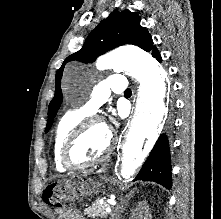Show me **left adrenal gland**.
<instances>
[{
	"label": "left adrenal gland",
	"mask_w": 221,
	"mask_h": 219,
	"mask_svg": "<svg viewBox=\"0 0 221 219\" xmlns=\"http://www.w3.org/2000/svg\"><path fill=\"white\" fill-rule=\"evenodd\" d=\"M130 197H132V194L130 193V194H128L127 196H126V201H124L123 203H121V205L120 206H118L117 207V209L115 210V213L112 215V218L111 219H119L120 218V216H121V213H123V204H126L127 202H128V200L130 199ZM120 210L119 212H116L117 210Z\"/></svg>",
	"instance_id": "a2214340"
}]
</instances>
